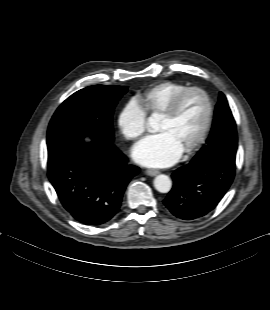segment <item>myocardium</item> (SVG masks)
<instances>
[{
	"label": "myocardium",
	"instance_id": "myocardium-1",
	"mask_svg": "<svg viewBox=\"0 0 270 310\" xmlns=\"http://www.w3.org/2000/svg\"><path fill=\"white\" fill-rule=\"evenodd\" d=\"M193 92L200 93L203 96L205 100V104H206V116H205L203 127L199 135L192 141V143L187 148L183 150V153L185 154H190L194 152L204 142V140L206 139L209 133L212 119H213V104H212L209 94L201 87H197V86L187 87L183 89L182 91L178 92L170 100V102L164 108V110L160 113V115L164 117L165 119L173 118L178 112L183 98L187 94L193 93Z\"/></svg>",
	"mask_w": 270,
	"mask_h": 310
}]
</instances>
